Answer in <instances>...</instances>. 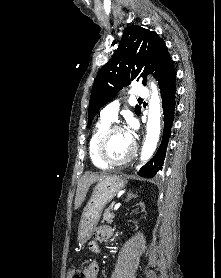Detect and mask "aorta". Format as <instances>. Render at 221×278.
<instances>
[{
	"instance_id": "obj_1",
	"label": "aorta",
	"mask_w": 221,
	"mask_h": 278,
	"mask_svg": "<svg viewBox=\"0 0 221 278\" xmlns=\"http://www.w3.org/2000/svg\"><path fill=\"white\" fill-rule=\"evenodd\" d=\"M151 97L147 121L146 139L141 151V161H147L154 153L160 136V97L157 85L150 83Z\"/></svg>"
}]
</instances>
